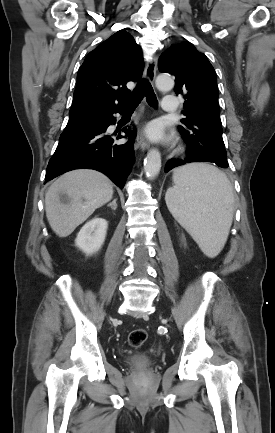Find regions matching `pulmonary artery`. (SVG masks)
<instances>
[{"mask_svg": "<svg viewBox=\"0 0 275 433\" xmlns=\"http://www.w3.org/2000/svg\"><path fill=\"white\" fill-rule=\"evenodd\" d=\"M177 98L174 95H165L162 99L161 108L165 113H174L177 110Z\"/></svg>", "mask_w": 275, "mask_h": 433, "instance_id": "obj_1", "label": "pulmonary artery"}]
</instances>
